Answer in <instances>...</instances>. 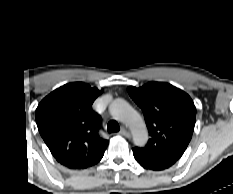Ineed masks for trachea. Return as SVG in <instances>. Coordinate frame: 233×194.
<instances>
[{
  "instance_id": "1",
  "label": "trachea",
  "mask_w": 233,
  "mask_h": 194,
  "mask_svg": "<svg viewBox=\"0 0 233 194\" xmlns=\"http://www.w3.org/2000/svg\"><path fill=\"white\" fill-rule=\"evenodd\" d=\"M107 130L109 133L118 132L120 130V126L116 121L112 120L108 123Z\"/></svg>"
}]
</instances>
